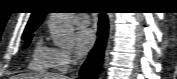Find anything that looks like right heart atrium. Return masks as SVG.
Wrapping results in <instances>:
<instances>
[{
	"label": "right heart atrium",
	"mask_w": 177,
	"mask_h": 79,
	"mask_svg": "<svg viewBox=\"0 0 177 79\" xmlns=\"http://www.w3.org/2000/svg\"><path fill=\"white\" fill-rule=\"evenodd\" d=\"M52 61L54 68L60 71H67L76 63V58L70 50L52 48Z\"/></svg>",
	"instance_id": "right-heart-atrium-1"
}]
</instances>
